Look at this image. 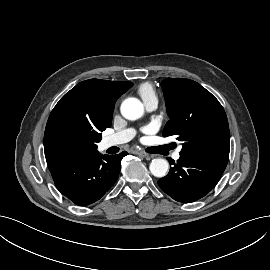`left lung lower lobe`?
I'll return each mask as SVG.
<instances>
[{"label": "left lung lower lobe", "instance_id": "1", "mask_svg": "<svg viewBox=\"0 0 270 270\" xmlns=\"http://www.w3.org/2000/svg\"><path fill=\"white\" fill-rule=\"evenodd\" d=\"M169 173L158 180L160 188L174 200L194 202L207 193L221 178L227 163L205 157L181 155L175 163L170 162Z\"/></svg>", "mask_w": 270, "mask_h": 270}]
</instances>
